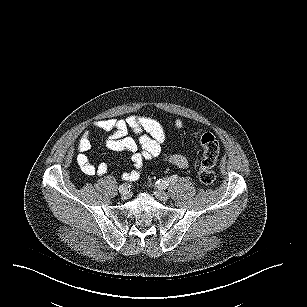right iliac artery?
I'll list each match as a JSON object with an SVG mask.
<instances>
[{
  "instance_id": "obj_1",
  "label": "right iliac artery",
  "mask_w": 307,
  "mask_h": 307,
  "mask_svg": "<svg viewBox=\"0 0 307 307\" xmlns=\"http://www.w3.org/2000/svg\"><path fill=\"white\" fill-rule=\"evenodd\" d=\"M120 188H122V189L124 190L125 186H123V185H122V186H120V187H119V190H120Z\"/></svg>"
}]
</instances>
